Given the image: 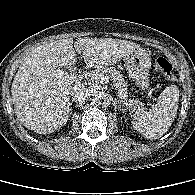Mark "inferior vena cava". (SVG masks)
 I'll return each mask as SVG.
<instances>
[{
	"instance_id": "obj_1",
	"label": "inferior vena cava",
	"mask_w": 195,
	"mask_h": 195,
	"mask_svg": "<svg viewBox=\"0 0 195 195\" xmlns=\"http://www.w3.org/2000/svg\"><path fill=\"white\" fill-rule=\"evenodd\" d=\"M71 96L73 101L85 103L90 98L91 92L89 89L83 86H74L71 92Z\"/></svg>"
}]
</instances>
